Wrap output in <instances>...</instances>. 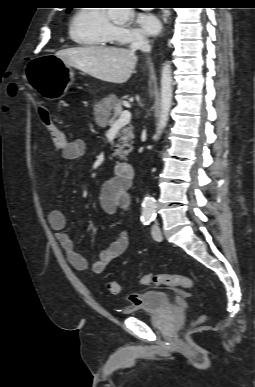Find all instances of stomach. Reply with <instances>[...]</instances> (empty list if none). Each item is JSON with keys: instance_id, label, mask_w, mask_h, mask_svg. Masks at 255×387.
Returning a JSON list of instances; mask_svg holds the SVG:
<instances>
[{"instance_id": "obj_1", "label": "stomach", "mask_w": 255, "mask_h": 387, "mask_svg": "<svg viewBox=\"0 0 255 387\" xmlns=\"http://www.w3.org/2000/svg\"><path fill=\"white\" fill-rule=\"evenodd\" d=\"M29 65L25 66L26 82H31L38 95L53 99L65 95L66 91H75V84H71L74 72L58 55H35Z\"/></svg>"}]
</instances>
